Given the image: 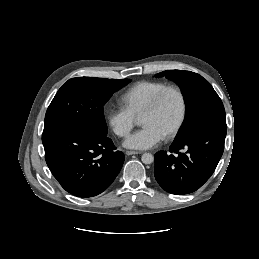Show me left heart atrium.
<instances>
[{"instance_id":"1","label":"left heart atrium","mask_w":259,"mask_h":259,"mask_svg":"<svg viewBox=\"0 0 259 259\" xmlns=\"http://www.w3.org/2000/svg\"><path fill=\"white\" fill-rule=\"evenodd\" d=\"M164 135L150 125H144L140 130L129 136L124 146L131 149L146 150L156 146L162 141Z\"/></svg>"}]
</instances>
